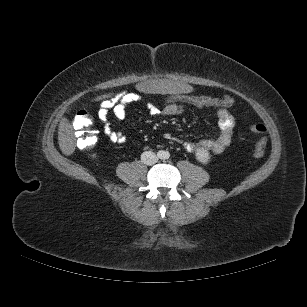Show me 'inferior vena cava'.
<instances>
[{"mask_svg": "<svg viewBox=\"0 0 307 307\" xmlns=\"http://www.w3.org/2000/svg\"><path fill=\"white\" fill-rule=\"evenodd\" d=\"M141 161L146 165H154L158 161V157L152 151H145L141 154Z\"/></svg>", "mask_w": 307, "mask_h": 307, "instance_id": "obj_1", "label": "inferior vena cava"}]
</instances>
